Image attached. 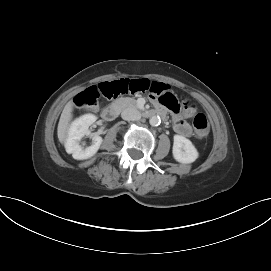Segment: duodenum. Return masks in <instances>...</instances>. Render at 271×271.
<instances>
[{"label":"duodenum","instance_id":"410a0bca","mask_svg":"<svg viewBox=\"0 0 271 271\" xmlns=\"http://www.w3.org/2000/svg\"><path fill=\"white\" fill-rule=\"evenodd\" d=\"M119 108L117 105H110L106 108H104L101 112V116L104 120L106 121H112L116 118L118 114ZM142 115L144 117H152L155 115H164L163 109H158V110H144L142 111Z\"/></svg>","mask_w":271,"mask_h":271}]
</instances>
